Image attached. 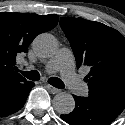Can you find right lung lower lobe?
I'll use <instances>...</instances> for the list:
<instances>
[{"label": "right lung lower lobe", "instance_id": "1", "mask_svg": "<svg viewBox=\"0 0 125 125\" xmlns=\"http://www.w3.org/2000/svg\"><path fill=\"white\" fill-rule=\"evenodd\" d=\"M34 83L24 80L10 81L0 86V117L13 114L25 104Z\"/></svg>", "mask_w": 125, "mask_h": 125}]
</instances>
